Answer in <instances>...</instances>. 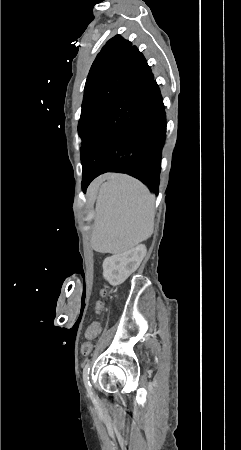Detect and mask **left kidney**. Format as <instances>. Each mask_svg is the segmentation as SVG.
Here are the masks:
<instances>
[{
  "mask_svg": "<svg viewBox=\"0 0 241 450\" xmlns=\"http://www.w3.org/2000/svg\"><path fill=\"white\" fill-rule=\"evenodd\" d=\"M147 252L146 246L140 244L120 256H110L103 262V276L111 286L123 284L139 268Z\"/></svg>",
  "mask_w": 241,
  "mask_h": 450,
  "instance_id": "obj_1",
  "label": "left kidney"
}]
</instances>
